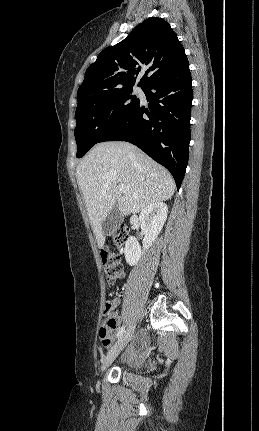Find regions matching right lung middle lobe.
<instances>
[{
	"mask_svg": "<svg viewBox=\"0 0 259 431\" xmlns=\"http://www.w3.org/2000/svg\"><path fill=\"white\" fill-rule=\"evenodd\" d=\"M138 104L139 99L132 95V87L93 95L79 103L74 131L77 158L83 157L100 142Z\"/></svg>",
	"mask_w": 259,
	"mask_h": 431,
	"instance_id": "right-lung-middle-lobe-1",
	"label": "right lung middle lobe"
}]
</instances>
